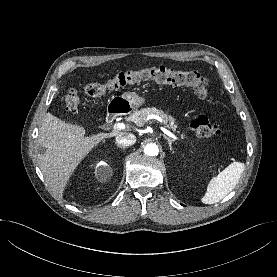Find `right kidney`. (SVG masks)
Masks as SVG:
<instances>
[{
	"instance_id": "obj_1",
	"label": "right kidney",
	"mask_w": 277,
	"mask_h": 277,
	"mask_svg": "<svg viewBox=\"0 0 277 277\" xmlns=\"http://www.w3.org/2000/svg\"><path fill=\"white\" fill-rule=\"evenodd\" d=\"M106 170H107V164L105 162H100L99 163V168H98V174L97 176L100 178V179H105L106 178Z\"/></svg>"
}]
</instances>
